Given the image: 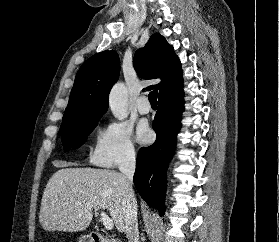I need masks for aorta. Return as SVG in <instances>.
<instances>
[{"instance_id": "aorta-1", "label": "aorta", "mask_w": 279, "mask_h": 242, "mask_svg": "<svg viewBox=\"0 0 279 242\" xmlns=\"http://www.w3.org/2000/svg\"><path fill=\"white\" fill-rule=\"evenodd\" d=\"M109 107L118 120H123L128 116V94L123 83H117L112 88L109 95Z\"/></svg>"}]
</instances>
